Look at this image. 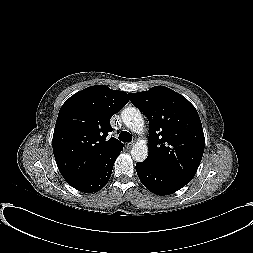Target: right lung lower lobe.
<instances>
[{"label": "right lung lower lobe", "mask_w": 253, "mask_h": 253, "mask_svg": "<svg viewBox=\"0 0 253 253\" xmlns=\"http://www.w3.org/2000/svg\"><path fill=\"white\" fill-rule=\"evenodd\" d=\"M122 148L120 150H118L111 158L110 160L99 170H97L96 172L81 178V179H77L71 182H68L72 187H74L75 189L84 192V193H93L96 192L98 190H100L101 188H103L112 173V169H113V165L114 162L116 160V157L119 155V153L121 152Z\"/></svg>", "instance_id": "right-lung-lower-lobe-1"}]
</instances>
